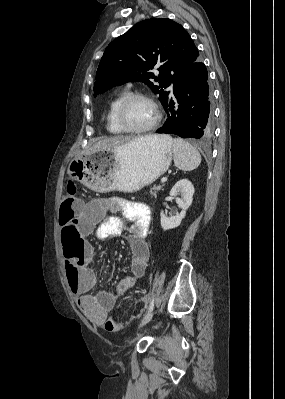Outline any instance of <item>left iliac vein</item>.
<instances>
[{
  "label": "left iliac vein",
  "mask_w": 285,
  "mask_h": 399,
  "mask_svg": "<svg viewBox=\"0 0 285 399\" xmlns=\"http://www.w3.org/2000/svg\"><path fill=\"white\" fill-rule=\"evenodd\" d=\"M154 311L149 312L140 322L139 328L144 327L153 317Z\"/></svg>",
  "instance_id": "4c4485c4"
}]
</instances>
